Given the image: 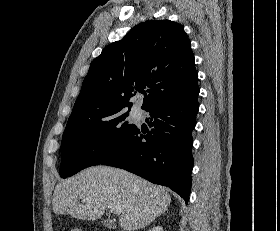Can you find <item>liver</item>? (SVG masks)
<instances>
[{
  "mask_svg": "<svg viewBox=\"0 0 280 231\" xmlns=\"http://www.w3.org/2000/svg\"><path fill=\"white\" fill-rule=\"evenodd\" d=\"M170 201L171 195L162 185L124 169L96 165L61 179L54 189L52 205L54 213H70L77 219H99L105 209L121 207L120 227L135 231L164 213Z\"/></svg>",
  "mask_w": 280,
  "mask_h": 231,
  "instance_id": "obj_1",
  "label": "liver"
}]
</instances>
